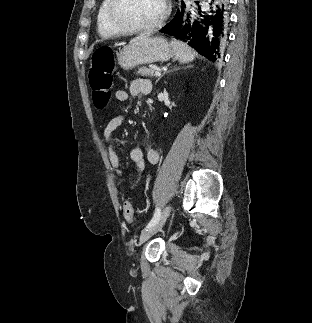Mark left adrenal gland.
I'll use <instances>...</instances> for the list:
<instances>
[{
  "instance_id": "left-adrenal-gland-1",
  "label": "left adrenal gland",
  "mask_w": 312,
  "mask_h": 323,
  "mask_svg": "<svg viewBox=\"0 0 312 323\" xmlns=\"http://www.w3.org/2000/svg\"><path fill=\"white\" fill-rule=\"evenodd\" d=\"M189 68H192V66H189ZM160 78H161V76H159V78H158L157 82H159Z\"/></svg>"
}]
</instances>
